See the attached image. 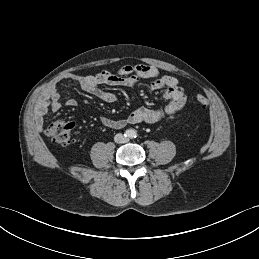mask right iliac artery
Masks as SVG:
<instances>
[{
    "label": "right iliac artery",
    "instance_id": "82829eb1",
    "mask_svg": "<svg viewBox=\"0 0 259 259\" xmlns=\"http://www.w3.org/2000/svg\"><path fill=\"white\" fill-rule=\"evenodd\" d=\"M125 136H129V133H128V132H126Z\"/></svg>",
    "mask_w": 259,
    "mask_h": 259
}]
</instances>
